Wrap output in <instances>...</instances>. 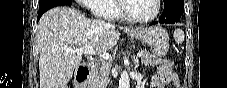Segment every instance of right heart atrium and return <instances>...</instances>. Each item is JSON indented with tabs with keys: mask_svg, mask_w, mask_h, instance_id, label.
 I'll return each instance as SVG.
<instances>
[{
	"mask_svg": "<svg viewBox=\"0 0 227 88\" xmlns=\"http://www.w3.org/2000/svg\"><path fill=\"white\" fill-rule=\"evenodd\" d=\"M96 1L98 0H80L79 2L82 4L89 5V7L93 10L94 4L96 3Z\"/></svg>",
	"mask_w": 227,
	"mask_h": 88,
	"instance_id": "1",
	"label": "right heart atrium"
}]
</instances>
